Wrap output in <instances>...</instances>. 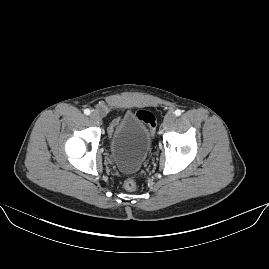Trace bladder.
<instances>
[{
    "label": "bladder",
    "mask_w": 269,
    "mask_h": 269,
    "mask_svg": "<svg viewBox=\"0 0 269 269\" xmlns=\"http://www.w3.org/2000/svg\"><path fill=\"white\" fill-rule=\"evenodd\" d=\"M153 134L148 121L127 112L120 125L109 135V153L116 167L124 172H136L151 154Z\"/></svg>",
    "instance_id": "obj_1"
}]
</instances>
